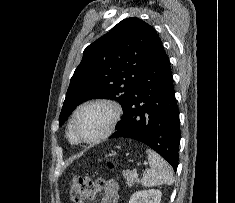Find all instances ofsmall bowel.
Masks as SVG:
<instances>
[{
  "mask_svg": "<svg viewBox=\"0 0 235 203\" xmlns=\"http://www.w3.org/2000/svg\"><path fill=\"white\" fill-rule=\"evenodd\" d=\"M118 184L115 180H107L104 183V194L99 203H118Z\"/></svg>",
  "mask_w": 235,
  "mask_h": 203,
  "instance_id": "small-bowel-1",
  "label": "small bowel"
}]
</instances>
